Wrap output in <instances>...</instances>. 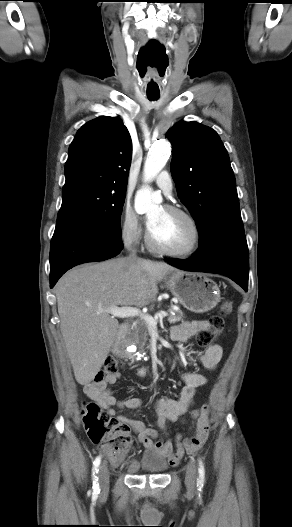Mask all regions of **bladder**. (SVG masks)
<instances>
[{
    "label": "bladder",
    "instance_id": "31cf9c89",
    "mask_svg": "<svg viewBox=\"0 0 292 527\" xmlns=\"http://www.w3.org/2000/svg\"><path fill=\"white\" fill-rule=\"evenodd\" d=\"M140 467L146 472L160 474L168 468V462L163 455L148 451L142 456Z\"/></svg>",
    "mask_w": 292,
    "mask_h": 527
}]
</instances>
